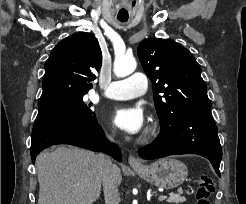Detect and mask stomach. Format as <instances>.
<instances>
[{"label": "stomach", "mask_w": 246, "mask_h": 204, "mask_svg": "<svg viewBox=\"0 0 246 204\" xmlns=\"http://www.w3.org/2000/svg\"><path fill=\"white\" fill-rule=\"evenodd\" d=\"M134 171L145 181L165 189L178 187L188 176L186 165L174 158L159 159Z\"/></svg>", "instance_id": "0dacf381"}]
</instances>
